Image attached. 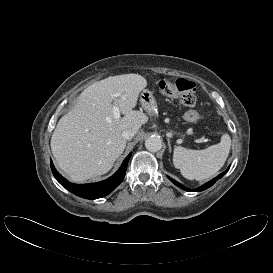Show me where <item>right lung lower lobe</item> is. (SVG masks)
<instances>
[{
    "label": "right lung lower lobe",
    "instance_id": "1",
    "mask_svg": "<svg viewBox=\"0 0 273 273\" xmlns=\"http://www.w3.org/2000/svg\"><path fill=\"white\" fill-rule=\"evenodd\" d=\"M131 153L125 158L119 170L108 179L93 184H73L63 178L55 169L51 161V169L56 180L67 190L77 196L86 199H97L108 195L112 192L124 179L128 161Z\"/></svg>",
    "mask_w": 273,
    "mask_h": 273
}]
</instances>
